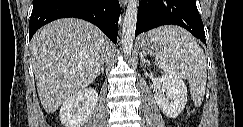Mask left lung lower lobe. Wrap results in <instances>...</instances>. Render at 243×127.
Instances as JSON below:
<instances>
[{"label":"left lung lower lobe","instance_id":"0a47b994","mask_svg":"<svg viewBox=\"0 0 243 127\" xmlns=\"http://www.w3.org/2000/svg\"><path fill=\"white\" fill-rule=\"evenodd\" d=\"M161 25H178L206 44L195 0H144L138 8L135 36Z\"/></svg>","mask_w":243,"mask_h":127}]
</instances>
